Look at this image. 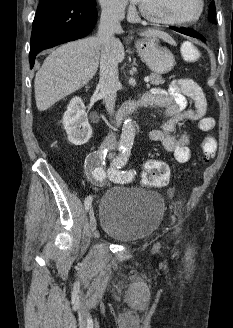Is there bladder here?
<instances>
[{
    "mask_svg": "<svg viewBox=\"0 0 233 328\" xmlns=\"http://www.w3.org/2000/svg\"><path fill=\"white\" fill-rule=\"evenodd\" d=\"M163 214L164 203L157 193L113 187L101 198L97 215L104 234L121 242H136L159 227Z\"/></svg>",
    "mask_w": 233,
    "mask_h": 328,
    "instance_id": "obj_1",
    "label": "bladder"
}]
</instances>
